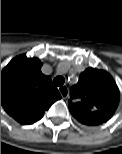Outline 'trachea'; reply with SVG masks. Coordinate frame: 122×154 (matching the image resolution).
<instances>
[{
	"instance_id": "trachea-1",
	"label": "trachea",
	"mask_w": 122,
	"mask_h": 154,
	"mask_svg": "<svg viewBox=\"0 0 122 154\" xmlns=\"http://www.w3.org/2000/svg\"><path fill=\"white\" fill-rule=\"evenodd\" d=\"M65 82V79L62 76H57L54 78L53 83L55 86H62Z\"/></svg>"
}]
</instances>
